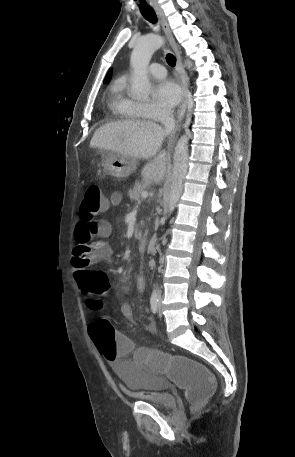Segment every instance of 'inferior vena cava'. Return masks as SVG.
I'll return each mask as SVG.
<instances>
[{"instance_id":"602c4592","label":"inferior vena cava","mask_w":295,"mask_h":457,"mask_svg":"<svg viewBox=\"0 0 295 457\" xmlns=\"http://www.w3.org/2000/svg\"><path fill=\"white\" fill-rule=\"evenodd\" d=\"M160 121L164 125L166 132L172 133L175 129V119L171 109H163L160 114ZM160 297V292L158 293Z\"/></svg>"}]
</instances>
